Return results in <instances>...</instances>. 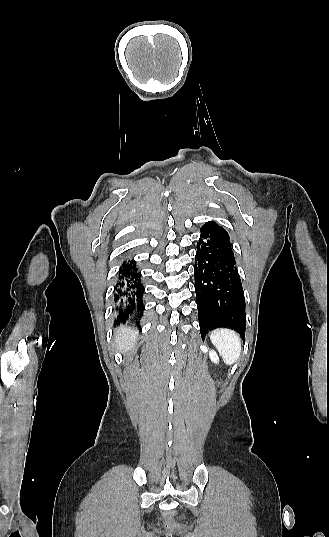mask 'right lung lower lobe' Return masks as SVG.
I'll list each match as a JSON object with an SVG mask.
<instances>
[{
  "instance_id": "right-lung-lower-lobe-1",
  "label": "right lung lower lobe",
  "mask_w": 329,
  "mask_h": 537,
  "mask_svg": "<svg viewBox=\"0 0 329 537\" xmlns=\"http://www.w3.org/2000/svg\"><path fill=\"white\" fill-rule=\"evenodd\" d=\"M143 294L144 285L136 263L125 261L119 271L118 283L114 295L115 301L117 302L116 312L118 313V322L142 316Z\"/></svg>"
}]
</instances>
